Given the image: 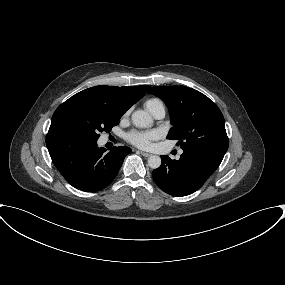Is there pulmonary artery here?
Returning <instances> with one entry per match:
<instances>
[{
	"mask_svg": "<svg viewBox=\"0 0 285 285\" xmlns=\"http://www.w3.org/2000/svg\"><path fill=\"white\" fill-rule=\"evenodd\" d=\"M149 112L151 113V115L157 119H163L165 116V107L163 104H159V105H155L154 107H152Z\"/></svg>",
	"mask_w": 285,
	"mask_h": 285,
	"instance_id": "1",
	"label": "pulmonary artery"
}]
</instances>
